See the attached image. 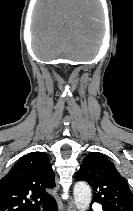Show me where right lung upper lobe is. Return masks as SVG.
Listing matches in <instances>:
<instances>
[{
	"instance_id": "1",
	"label": "right lung upper lobe",
	"mask_w": 133,
	"mask_h": 211,
	"mask_svg": "<svg viewBox=\"0 0 133 211\" xmlns=\"http://www.w3.org/2000/svg\"><path fill=\"white\" fill-rule=\"evenodd\" d=\"M55 187L46 154L31 152L22 157L0 180V211H39L54 198L46 192Z\"/></svg>"
}]
</instances>
